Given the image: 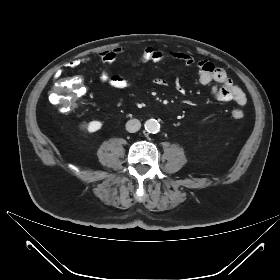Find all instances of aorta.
Here are the masks:
<instances>
[{
	"label": "aorta",
	"instance_id": "aorta-1",
	"mask_svg": "<svg viewBox=\"0 0 280 280\" xmlns=\"http://www.w3.org/2000/svg\"><path fill=\"white\" fill-rule=\"evenodd\" d=\"M145 129L149 133H157L160 129V124L155 119H149L145 122Z\"/></svg>",
	"mask_w": 280,
	"mask_h": 280
}]
</instances>
